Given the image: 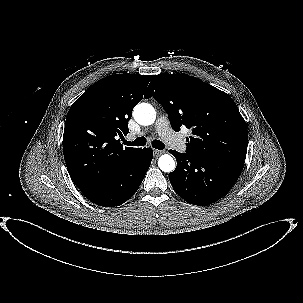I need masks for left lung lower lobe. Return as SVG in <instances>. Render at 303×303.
<instances>
[{
    "instance_id": "obj_1",
    "label": "left lung lower lobe",
    "mask_w": 303,
    "mask_h": 303,
    "mask_svg": "<svg viewBox=\"0 0 303 303\" xmlns=\"http://www.w3.org/2000/svg\"><path fill=\"white\" fill-rule=\"evenodd\" d=\"M177 160L169 173L174 191L191 204L206 206L222 198L241 174L244 161L229 157L201 156L171 150Z\"/></svg>"
}]
</instances>
